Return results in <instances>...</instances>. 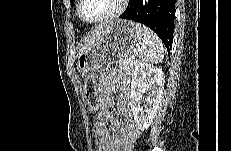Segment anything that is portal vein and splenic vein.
<instances>
[{
  "label": "portal vein and splenic vein",
  "mask_w": 231,
  "mask_h": 151,
  "mask_svg": "<svg viewBox=\"0 0 231 151\" xmlns=\"http://www.w3.org/2000/svg\"><path fill=\"white\" fill-rule=\"evenodd\" d=\"M133 59H134L133 56H129V57H127V58L124 59V62H125V63H132V62H133Z\"/></svg>",
  "instance_id": "1"
}]
</instances>
